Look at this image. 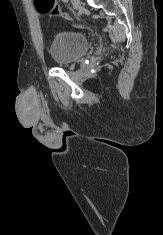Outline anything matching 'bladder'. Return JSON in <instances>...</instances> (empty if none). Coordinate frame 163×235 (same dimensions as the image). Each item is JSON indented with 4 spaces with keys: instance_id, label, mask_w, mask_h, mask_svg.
Returning <instances> with one entry per match:
<instances>
[{
    "instance_id": "bladder-1",
    "label": "bladder",
    "mask_w": 163,
    "mask_h": 235,
    "mask_svg": "<svg viewBox=\"0 0 163 235\" xmlns=\"http://www.w3.org/2000/svg\"><path fill=\"white\" fill-rule=\"evenodd\" d=\"M92 48L90 37L81 30L58 31L50 45V55L55 62L69 65L84 57Z\"/></svg>"
}]
</instances>
